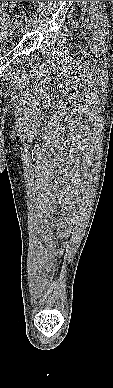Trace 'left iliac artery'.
I'll return each mask as SVG.
<instances>
[{
  "instance_id": "obj_1",
  "label": "left iliac artery",
  "mask_w": 113,
  "mask_h": 388,
  "mask_svg": "<svg viewBox=\"0 0 113 388\" xmlns=\"http://www.w3.org/2000/svg\"><path fill=\"white\" fill-rule=\"evenodd\" d=\"M31 20H32L31 17L25 16V21H26V22H30Z\"/></svg>"
}]
</instances>
